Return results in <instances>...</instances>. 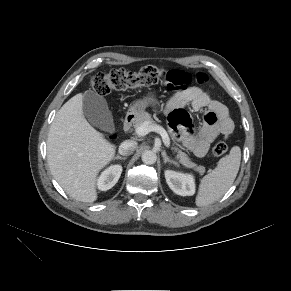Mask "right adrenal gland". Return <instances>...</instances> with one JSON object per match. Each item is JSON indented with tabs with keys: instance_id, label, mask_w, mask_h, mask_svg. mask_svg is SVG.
<instances>
[{
	"instance_id": "2a0ac1e0",
	"label": "right adrenal gland",
	"mask_w": 291,
	"mask_h": 291,
	"mask_svg": "<svg viewBox=\"0 0 291 291\" xmlns=\"http://www.w3.org/2000/svg\"><path fill=\"white\" fill-rule=\"evenodd\" d=\"M114 159H120V160H125V159H127L126 157H122V156H119V155H117L116 157H114Z\"/></svg>"
}]
</instances>
